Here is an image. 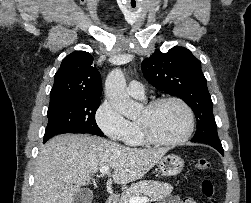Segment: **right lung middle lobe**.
Segmentation results:
<instances>
[{
	"instance_id": "obj_1",
	"label": "right lung middle lobe",
	"mask_w": 251,
	"mask_h": 203,
	"mask_svg": "<svg viewBox=\"0 0 251 203\" xmlns=\"http://www.w3.org/2000/svg\"><path fill=\"white\" fill-rule=\"evenodd\" d=\"M100 99H82L48 108L44 142L61 133H88L103 136L95 121Z\"/></svg>"
}]
</instances>
